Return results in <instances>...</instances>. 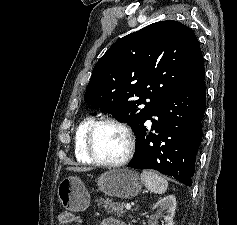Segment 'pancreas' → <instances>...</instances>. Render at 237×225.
Segmentation results:
<instances>
[{
    "label": "pancreas",
    "mask_w": 237,
    "mask_h": 225,
    "mask_svg": "<svg viewBox=\"0 0 237 225\" xmlns=\"http://www.w3.org/2000/svg\"><path fill=\"white\" fill-rule=\"evenodd\" d=\"M97 205L103 208L108 214H115L118 217H122L125 214V204L123 202H113L112 200L106 198H100L97 200Z\"/></svg>",
    "instance_id": "obj_1"
}]
</instances>
